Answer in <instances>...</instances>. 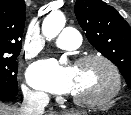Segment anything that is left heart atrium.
<instances>
[{
    "mask_svg": "<svg viewBox=\"0 0 131 115\" xmlns=\"http://www.w3.org/2000/svg\"><path fill=\"white\" fill-rule=\"evenodd\" d=\"M31 85L52 93L65 94L74 89V68H62L54 60L40 61L28 71Z\"/></svg>",
    "mask_w": 131,
    "mask_h": 115,
    "instance_id": "1",
    "label": "left heart atrium"
}]
</instances>
